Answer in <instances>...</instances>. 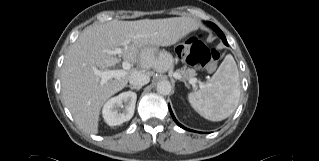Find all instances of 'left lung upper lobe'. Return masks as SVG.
Instances as JSON below:
<instances>
[{"mask_svg": "<svg viewBox=\"0 0 319 161\" xmlns=\"http://www.w3.org/2000/svg\"><path fill=\"white\" fill-rule=\"evenodd\" d=\"M208 24H209L210 26L212 25L211 22H208ZM215 31H216V33L219 35V37L223 40L224 44L227 43V40H226L224 34L222 33V31H221L220 29H217V30H215Z\"/></svg>", "mask_w": 319, "mask_h": 161, "instance_id": "obj_1", "label": "left lung upper lobe"}]
</instances>
